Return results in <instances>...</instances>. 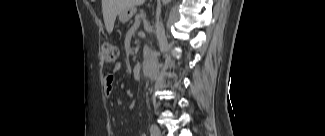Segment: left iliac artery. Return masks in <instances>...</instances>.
Returning <instances> with one entry per match:
<instances>
[{
  "instance_id": "1",
  "label": "left iliac artery",
  "mask_w": 325,
  "mask_h": 136,
  "mask_svg": "<svg viewBox=\"0 0 325 136\" xmlns=\"http://www.w3.org/2000/svg\"><path fill=\"white\" fill-rule=\"evenodd\" d=\"M151 136H157L159 134L158 129L154 125L150 127Z\"/></svg>"
}]
</instances>
